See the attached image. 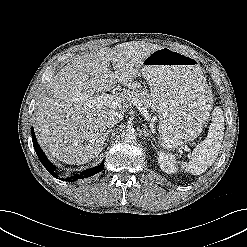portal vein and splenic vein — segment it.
Listing matches in <instances>:
<instances>
[{"mask_svg":"<svg viewBox=\"0 0 247 247\" xmlns=\"http://www.w3.org/2000/svg\"><path fill=\"white\" fill-rule=\"evenodd\" d=\"M93 101L98 105V106H101V105H105L107 107H110V108H115V107H120L121 104L119 103L118 99L110 94H102L101 96H98V97H95L93 99ZM131 102L133 105H135L139 111H141V113L143 115H145V109L143 107L140 106V103L139 101L136 99V98H132L131 99ZM186 151H190L189 148L185 147Z\"/></svg>","mask_w":247,"mask_h":247,"instance_id":"18ae733b","label":"portal vein and splenic vein"}]
</instances>
